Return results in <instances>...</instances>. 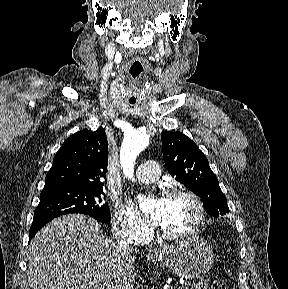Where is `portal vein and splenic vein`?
Here are the masks:
<instances>
[{
	"instance_id": "obj_1",
	"label": "portal vein and splenic vein",
	"mask_w": 288,
	"mask_h": 289,
	"mask_svg": "<svg viewBox=\"0 0 288 289\" xmlns=\"http://www.w3.org/2000/svg\"><path fill=\"white\" fill-rule=\"evenodd\" d=\"M184 288H185L184 286H179V287H178V289H184Z\"/></svg>"
}]
</instances>
